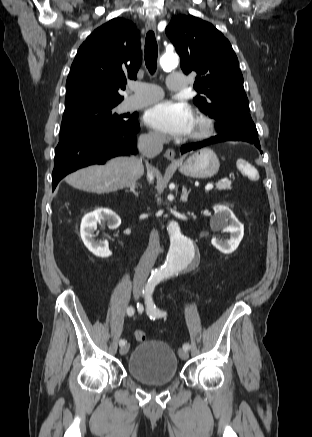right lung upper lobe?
<instances>
[{"mask_svg": "<svg viewBox=\"0 0 312 437\" xmlns=\"http://www.w3.org/2000/svg\"><path fill=\"white\" fill-rule=\"evenodd\" d=\"M139 33L115 18L89 35L79 47L66 81V108L83 104H118L128 79H136L141 65Z\"/></svg>", "mask_w": 312, "mask_h": 437, "instance_id": "right-lung-upper-lobe-1", "label": "right lung upper lobe"}]
</instances>
